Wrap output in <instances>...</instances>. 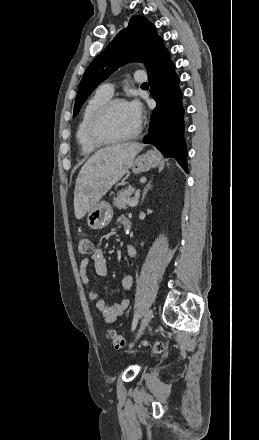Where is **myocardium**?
Instances as JSON below:
<instances>
[{
	"label": "myocardium",
	"mask_w": 259,
	"mask_h": 440,
	"mask_svg": "<svg viewBox=\"0 0 259 440\" xmlns=\"http://www.w3.org/2000/svg\"><path fill=\"white\" fill-rule=\"evenodd\" d=\"M121 103H126L122 98H112L102 104L92 115L87 126V137L96 145L105 146L119 144L136 138L141 132L140 124L130 134L122 137H113L106 133L105 126L112 109Z\"/></svg>",
	"instance_id": "f54148a6"
}]
</instances>
